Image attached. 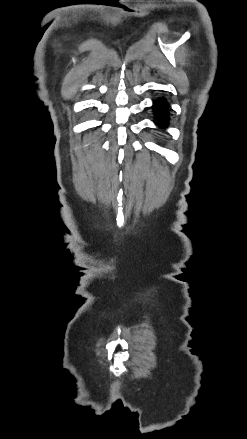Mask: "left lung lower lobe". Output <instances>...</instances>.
Wrapping results in <instances>:
<instances>
[{
  "mask_svg": "<svg viewBox=\"0 0 247 439\" xmlns=\"http://www.w3.org/2000/svg\"><path fill=\"white\" fill-rule=\"evenodd\" d=\"M154 109L156 110L155 114H157L159 121L158 124H162V122L167 123L168 104L166 101L162 99L154 101Z\"/></svg>",
  "mask_w": 247,
  "mask_h": 439,
  "instance_id": "0a47b994",
  "label": "left lung lower lobe"
}]
</instances>
